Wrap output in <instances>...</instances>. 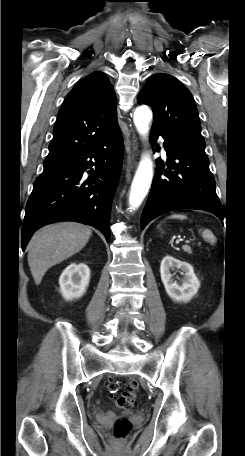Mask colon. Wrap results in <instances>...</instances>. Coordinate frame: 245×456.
<instances>
[{
  "mask_svg": "<svg viewBox=\"0 0 245 456\" xmlns=\"http://www.w3.org/2000/svg\"><path fill=\"white\" fill-rule=\"evenodd\" d=\"M137 383L129 380L122 386L117 379H110L107 383L109 398L115 405L122 409H130L137 403ZM130 423L126 419H118L111 427V435L117 440H122L128 434Z\"/></svg>",
  "mask_w": 245,
  "mask_h": 456,
  "instance_id": "colon-1",
  "label": "colon"
}]
</instances>
